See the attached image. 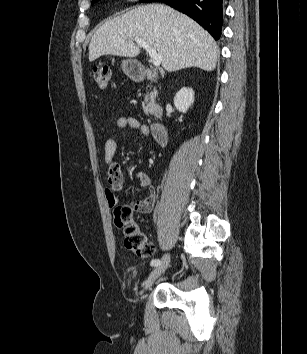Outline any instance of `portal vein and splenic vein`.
<instances>
[{
	"instance_id": "18ae733b",
	"label": "portal vein and splenic vein",
	"mask_w": 307,
	"mask_h": 354,
	"mask_svg": "<svg viewBox=\"0 0 307 354\" xmlns=\"http://www.w3.org/2000/svg\"><path fill=\"white\" fill-rule=\"evenodd\" d=\"M134 41L143 49L146 50V52L149 54L150 59L152 64L155 67H159L161 64V55L159 53H157V51L151 46L149 45L146 41H144L142 38H134Z\"/></svg>"
}]
</instances>
